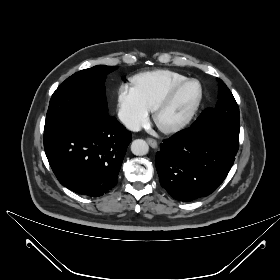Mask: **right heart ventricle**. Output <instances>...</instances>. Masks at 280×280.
<instances>
[{"label":"right heart ventricle","instance_id":"1","mask_svg":"<svg viewBox=\"0 0 280 280\" xmlns=\"http://www.w3.org/2000/svg\"><path fill=\"white\" fill-rule=\"evenodd\" d=\"M186 79L181 73L159 69L138 73L131 78V82L144 105L152 110L171 86Z\"/></svg>","mask_w":280,"mask_h":280}]
</instances>
